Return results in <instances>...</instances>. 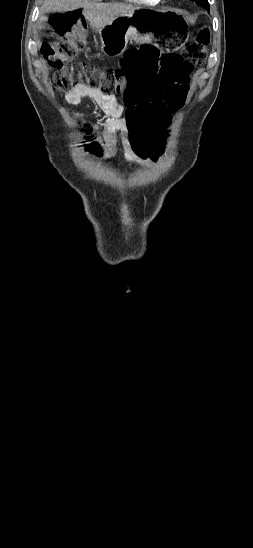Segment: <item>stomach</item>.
Returning a JSON list of instances; mask_svg holds the SVG:
<instances>
[{"mask_svg":"<svg viewBox=\"0 0 253 548\" xmlns=\"http://www.w3.org/2000/svg\"><path fill=\"white\" fill-rule=\"evenodd\" d=\"M186 22L177 11L137 9L117 17L108 28L98 30L100 49L105 55L119 56L130 40L175 49L187 38Z\"/></svg>","mask_w":253,"mask_h":548,"instance_id":"1","label":"stomach"}]
</instances>
